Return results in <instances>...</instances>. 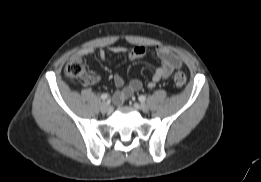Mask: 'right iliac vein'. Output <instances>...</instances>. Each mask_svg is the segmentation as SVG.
I'll use <instances>...</instances> for the list:
<instances>
[{
	"label": "right iliac vein",
	"instance_id": "right-iliac-vein-1",
	"mask_svg": "<svg viewBox=\"0 0 261 182\" xmlns=\"http://www.w3.org/2000/svg\"><path fill=\"white\" fill-rule=\"evenodd\" d=\"M110 109H111L110 106L107 103H105V102H103L100 105V110H101L102 113H107V112L110 111Z\"/></svg>",
	"mask_w": 261,
	"mask_h": 182
}]
</instances>
